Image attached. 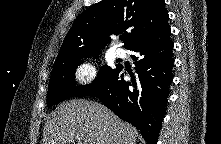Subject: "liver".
I'll list each match as a JSON object with an SVG mask.
<instances>
[{"mask_svg": "<svg viewBox=\"0 0 221 144\" xmlns=\"http://www.w3.org/2000/svg\"><path fill=\"white\" fill-rule=\"evenodd\" d=\"M47 120L44 144H136L137 130L100 103L73 99Z\"/></svg>", "mask_w": 221, "mask_h": 144, "instance_id": "1", "label": "liver"}]
</instances>
